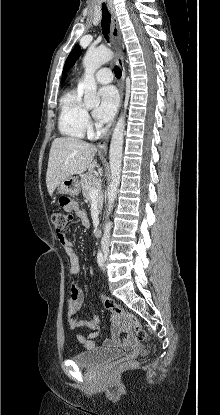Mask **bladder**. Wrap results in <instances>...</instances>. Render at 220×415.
Segmentation results:
<instances>
[{
  "instance_id": "obj_1",
  "label": "bladder",
  "mask_w": 220,
  "mask_h": 415,
  "mask_svg": "<svg viewBox=\"0 0 220 415\" xmlns=\"http://www.w3.org/2000/svg\"><path fill=\"white\" fill-rule=\"evenodd\" d=\"M122 356L120 349L83 350L72 356V361L79 366H93Z\"/></svg>"
}]
</instances>
